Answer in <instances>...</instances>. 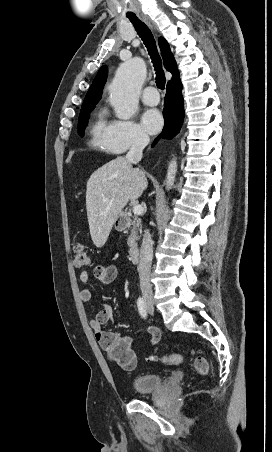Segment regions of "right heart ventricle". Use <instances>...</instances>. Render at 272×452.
Instances as JSON below:
<instances>
[{
  "label": "right heart ventricle",
  "instance_id": "right-heart-ventricle-1",
  "mask_svg": "<svg viewBox=\"0 0 272 452\" xmlns=\"http://www.w3.org/2000/svg\"><path fill=\"white\" fill-rule=\"evenodd\" d=\"M112 122H108L104 111H101L90 129V142L93 146L110 150L107 138Z\"/></svg>",
  "mask_w": 272,
  "mask_h": 452
}]
</instances>
